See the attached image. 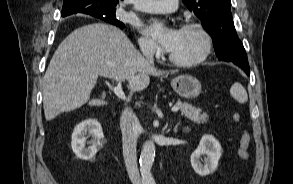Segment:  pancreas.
I'll list each match as a JSON object with an SVG mask.
<instances>
[{"mask_svg": "<svg viewBox=\"0 0 293 184\" xmlns=\"http://www.w3.org/2000/svg\"><path fill=\"white\" fill-rule=\"evenodd\" d=\"M176 105L179 106L181 114L189 118L194 123L200 124L208 121L207 113H202L200 108H196L193 105L187 102H182L180 100L177 101Z\"/></svg>", "mask_w": 293, "mask_h": 184, "instance_id": "1", "label": "pancreas"}]
</instances>
